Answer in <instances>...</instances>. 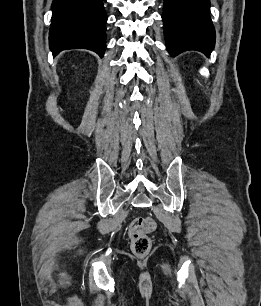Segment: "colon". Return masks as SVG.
I'll use <instances>...</instances> for the list:
<instances>
[{
    "label": "colon",
    "instance_id": "5ec220e1",
    "mask_svg": "<svg viewBox=\"0 0 261 306\" xmlns=\"http://www.w3.org/2000/svg\"><path fill=\"white\" fill-rule=\"evenodd\" d=\"M156 228V223L151 217L135 218L128 230L132 252L137 256L146 255L151 249V239L148 236Z\"/></svg>",
    "mask_w": 261,
    "mask_h": 306
}]
</instances>
